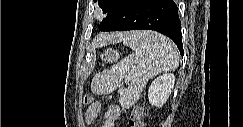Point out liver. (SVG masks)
Masks as SVG:
<instances>
[{
  "mask_svg": "<svg viewBox=\"0 0 243 127\" xmlns=\"http://www.w3.org/2000/svg\"><path fill=\"white\" fill-rule=\"evenodd\" d=\"M131 34L132 33H112V34L99 35L94 39L93 45L97 46V45L105 44L106 42L121 41Z\"/></svg>",
  "mask_w": 243,
  "mask_h": 127,
  "instance_id": "1",
  "label": "liver"
}]
</instances>
